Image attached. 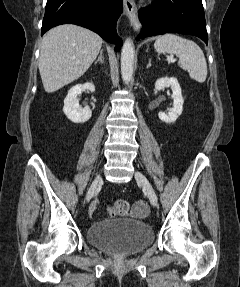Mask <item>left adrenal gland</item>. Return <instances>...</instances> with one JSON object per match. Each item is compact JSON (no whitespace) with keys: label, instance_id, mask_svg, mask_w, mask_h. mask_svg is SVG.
I'll return each mask as SVG.
<instances>
[{"label":"left adrenal gland","instance_id":"1","mask_svg":"<svg viewBox=\"0 0 240 287\" xmlns=\"http://www.w3.org/2000/svg\"><path fill=\"white\" fill-rule=\"evenodd\" d=\"M151 66V59L148 60L147 68Z\"/></svg>","mask_w":240,"mask_h":287}]
</instances>
